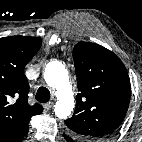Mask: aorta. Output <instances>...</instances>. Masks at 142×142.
Masks as SVG:
<instances>
[{
  "instance_id": "762f6f07",
  "label": "aorta",
  "mask_w": 142,
  "mask_h": 142,
  "mask_svg": "<svg viewBox=\"0 0 142 142\" xmlns=\"http://www.w3.org/2000/svg\"><path fill=\"white\" fill-rule=\"evenodd\" d=\"M44 79L57 95L54 106L56 116L67 118L74 108V95L65 66L59 61L49 62L45 67Z\"/></svg>"
}]
</instances>
